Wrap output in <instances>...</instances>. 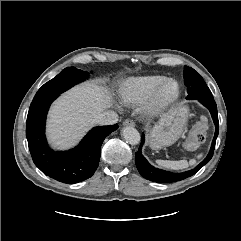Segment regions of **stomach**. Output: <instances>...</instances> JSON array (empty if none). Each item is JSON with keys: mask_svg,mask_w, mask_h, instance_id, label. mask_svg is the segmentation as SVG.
<instances>
[{"mask_svg": "<svg viewBox=\"0 0 241 241\" xmlns=\"http://www.w3.org/2000/svg\"><path fill=\"white\" fill-rule=\"evenodd\" d=\"M188 116L189 110L184 104H179L164 113L149 132L150 147L161 149L175 143L186 127Z\"/></svg>", "mask_w": 241, "mask_h": 241, "instance_id": "1", "label": "stomach"}]
</instances>
